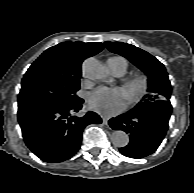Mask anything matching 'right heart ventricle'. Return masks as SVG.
<instances>
[{"label":"right heart ventricle","instance_id":"e07e8e85","mask_svg":"<svg viewBox=\"0 0 194 193\" xmlns=\"http://www.w3.org/2000/svg\"><path fill=\"white\" fill-rule=\"evenodd\" d=\"M124 60V73L126 72V69H127V62H126V60L125 59H123Z\"/></svg>","mask_w":194,"mask_h":193}]
</instances>
